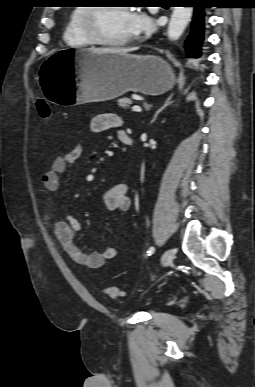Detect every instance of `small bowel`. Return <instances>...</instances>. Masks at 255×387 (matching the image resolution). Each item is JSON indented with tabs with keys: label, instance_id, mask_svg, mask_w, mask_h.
I'll return each instance as SVG.
<instances>
[{
	"label": "small bowel",
	"instance_id": "1",
	"mask_svg": "<svg viewBox=\"0 0 255 387\" xmlns=\"http://www.w3.org/2000/svg\"><path fill=\"white\" fill-rule=\"evenodd\" d=\"M123 124L121 117L113 113H100L91 121V129L100 133L113 128H120ZM125 131L120 130L119 136ZM83 146L75 145L68 153L57 156L51 169L42 176L45 188L56 198L61 197L60 177L66 172L67 166L75 163L83 154ZM104 205L110 211H128L131 200L127 194V186L124 183H116L104 194ZM63 219L53 223L54 234L68 257L78 265L98 269L106 261L114 258L118 252V244L114 243L101 252H86L80 248L76 241V234L81 230L80 222L72 215L63 213Z\"/></svg>",
	"mask_w": 255,
	"mask_h": 387
}]
</instances>
